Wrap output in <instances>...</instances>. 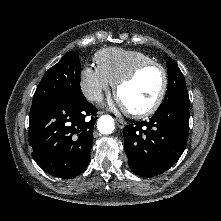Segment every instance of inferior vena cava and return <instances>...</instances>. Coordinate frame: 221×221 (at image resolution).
Returning a JSON list of instances; mask_svg holds the SVG:
<instances>
[{
	"label": "inferior vena cava",
	"instance_id": "1",
	"mask_svg": "<svg viewBox=\"0 0 221 221\" xmlns=\"http://www.w3.org/2000/svg\"><path fill=\"white\" fill-rule=\"evenodd\" d=\"M100 96L101 92L97 89H92L86 93V98L90 101L97 100Z\"/></svg>",
	"mask_w": 221,
	"mask_h": 221
}]
</instances>
